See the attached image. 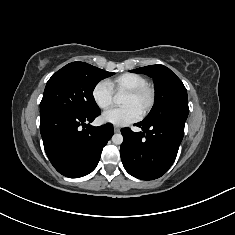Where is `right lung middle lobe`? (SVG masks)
<instances>
[{
  "instance_id": "obj_1",
  "label": "right lung middle lobe",
  "mask_w": 235,
  "mask_h": 235,
  "mask_svg": "<svg viewBox=\"0 0 235 235\" xmlns=\"http://www.w3.org/2000/svg\"><path fill=\"white\" fill-rule=\"evenodd\" d=\"M113 74L83 62L67 64L48 80L40 113L56 110L86 115L98 111L92 92L100 80Z\"/></svg>"
}]
</instances>
